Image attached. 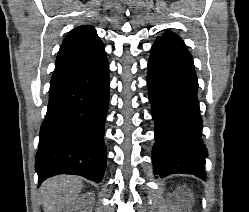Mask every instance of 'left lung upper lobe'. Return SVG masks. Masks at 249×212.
Wrapping results in <instances>:
<instances>
[{"mask_svg":"<svg viewBox=\"0 0 249 212\" xmlns=\"http://www.w3.org/2000/svg\"><path fill=\"white\" fill-rule=\"evenodd\" d=\"M156 42L171 43V44H174V45H176L178 47H181V48L187 50V48H186L184 42L182 41V39L180 37L176 36L173 33L166 32L163 36L158 37Z\"/></svg>","mask_w":249,"mask_h":212,"instance_id":"5c2ea615","label":"left lung upper lobe"}]
</instances>
